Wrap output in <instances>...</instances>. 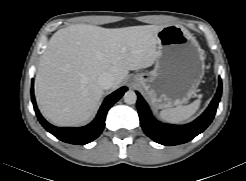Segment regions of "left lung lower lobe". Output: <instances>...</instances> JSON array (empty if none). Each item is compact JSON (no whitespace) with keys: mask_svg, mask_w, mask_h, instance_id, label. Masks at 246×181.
<instances>
[{"mask_svg":"<svg viewBox=\"0 0 246 181\" xmlns=\"http://www.w3.org/2000/svg\"><path fill=\"white\" fill-rule=\"evenodd\" d=\"M221 92L222 83L220 82L216 95L204 113L193 122L181 126L158 122L152 116L142 96L137 93V107L142 129L147 136L162 145L171 146L186 143L203 132L212 122L221 98Z\"/></svg>","mask_w":246,"mask_h":181,"instance_id":"obj_1","label":"left lung lower lobe"}]
</instances>
